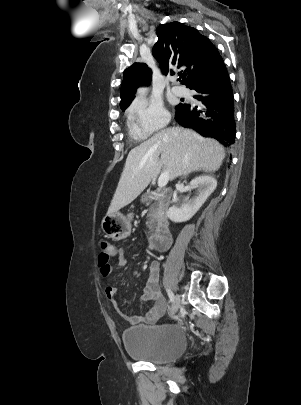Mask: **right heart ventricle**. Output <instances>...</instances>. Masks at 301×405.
<instances>
[{
  "label": "right heart ventricle",
  "instance_id": "1",
  "mask_svg": "<svg viewBox=\"0 0 301 405\" xmlns=\"http://www.w3.org/2000/svg\"><path fill=\"white\" fill-rule=\"evenodd\" d=\"M129 120H130V118H129ZM130 122H131V120H130ZM131 133H132L133 136H136V137H141L142 136L140 133L137 132V130L133 126L132 122H131Z\"/></svg>",
  "mask_w": 301,
  "mask_h": 405
}]
</instances>
